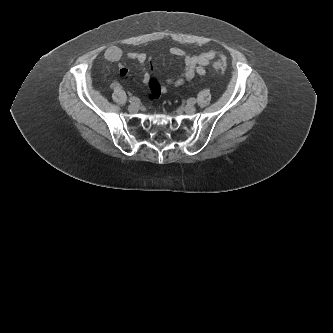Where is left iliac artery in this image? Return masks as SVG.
Returning a JSON list of instances; mask_svg holds the SVG:
<instances>
[{"label": "left iliac artery", "instance_id": "obj_1", "mask_svg": "<svg viewBox=\"0 0 333 333\" xmlns=\"http://www.w3.org/2000/svg\"><path fill=\"white\" fill-rule=\"evenodd\" d=\"M187 102H188V104H195L196 99L195 98H189Z\"/></svg>", "mask_w": 333, "mask_h": 333}]
</instances>
